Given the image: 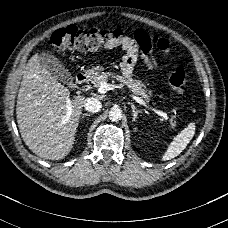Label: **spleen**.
I'll return each instance as SVG.
<instances>
[{
    "mask_svg": "<svg viewBox=\"0 0 228 228\" xmlns=\"http://www.w3.org/2000/svg\"><path fill=\"white\" fill-rule=\"evenodd\" d=\"M196 131V123H189L177 136H175L170 144L167 146L166 151L161 156L162 161L171 160L177 157L182 151L185 150L189 142L194 137Z\"/></svg>",
    "mask_w": 228,
    "mask_h": 228,
    "instance_id": "obj_1",
    "label": "spleen"
}]
</instances>
